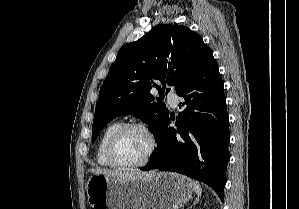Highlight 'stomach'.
<instances>
[{
    "label": "stomach",
    "instance_id": "0dacf381",
    "mask_svg": "<svg viewBox=\"0 0 299 209\" xmlns=\"http://www.w3.org/2000/svg\"><path fill=\"white\" fill-rule=\"evenodd\" d=\"M93 209H179L191 197L193 182L172 172L117 180L93 173L86 185Z\"/></svg>",
    "mask_w": 299,
    "mask_h": 209
}]
</instances>
